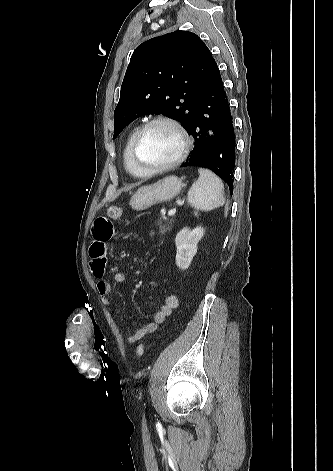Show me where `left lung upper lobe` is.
I'll return each instance as SVG.
<instances>
[{
  "instance_id": "left-lung-upper-lobe-1",
  "label": "left lung upper lobe",
  "mask_w": 333,
  "mask_h": 471,
  "mask_svg": "<svg viewBox=\"0 0 333 471\" xmlns=\"http://www.w3.org/2000/svg\"><path fill=\"white\" fill-rule=\"evenodd\" d=\"M216 62L194 33L175 31L152 38L133 52L114 111L113 138L136 118L161 113L186 129Z\"/></svg>"
}]
</instances>
